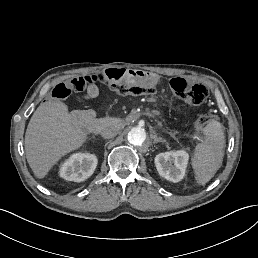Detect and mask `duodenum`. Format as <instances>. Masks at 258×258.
<instances>
[{"label": "duodenum", "mask_w": 258, "mask_h": 258, "mask_svg": "<svg viewBox=\"0 0 258 258\" xmlns=\"http://www.w3.org/2000/svg\"><path fill=\"white\" fill-rule=\"evenodd\" d=\"M105 86H114L133 78L132 71L126 68H111L103 71L97 77Z\"/></svg>", "instance_id": "1"}]
</instances>
